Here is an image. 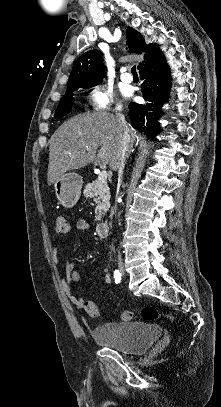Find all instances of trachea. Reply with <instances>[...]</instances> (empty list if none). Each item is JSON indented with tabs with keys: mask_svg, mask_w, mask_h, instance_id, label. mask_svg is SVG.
Masks as SVG:
<instances>
[{
	"mask_svg": "<svg viewBox=\"0 0 221 407\" xmlns=\"http://www.w3.org/2000/svg\"><path fill=\"white\" fill-rule=\"evenodd\" d=\"M131 72H132L133 75H137L136 66L132 67Z\"/></svg>",
	"mask_w": 221,
	"mask_h": 407,
	"instance_id": "3493384b",
	"label": "trachea"
}]
</instances>
